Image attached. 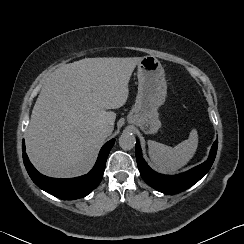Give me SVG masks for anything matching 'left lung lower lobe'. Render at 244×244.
<instances>
[{
    "label": "left lung lower lobe",
    "mask_w": 244,
    "mask_h": 244,
    "mask_svg": "<svg viewBox=\"0 0 244 244\" xmlns=\"http://www.w3.org/2000/svg\"><path fill=\"white\" fill-rule=\"evenodd\" d=\"M217 146L218 141L216 140L207 161L187 172L174 176L158 174L147 165L142 157L138 139H136L135 154L140 174L148 185L165 194H176L193 186L209 171L216 156Z\"/></svg>",
    "instance_id": "1"
}]
</instances>
